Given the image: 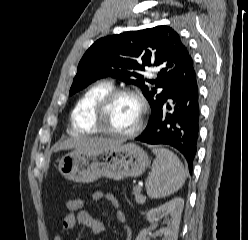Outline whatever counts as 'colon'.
Instances as JSON below:
<instances>
[{
  "instance_id": "1",
  "label": "colon",
  "mask_w": 248,
  "mask_h": 240,
  "mask_svg": "<svg viewBox=\"0 0 248 240\" xmlns=\"http://www.w3.org/2000/svg\"><path fill=\"white\" fill-rule=\"evenodd\" d=\"M84 204L82 198H71L66 202V210L70 214L77 213L83 210Z\"/></svg>"
}]
</instances>
